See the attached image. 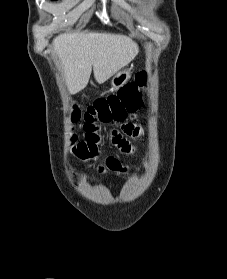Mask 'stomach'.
Returning <instances> with one entry per match:
<instances>
[{"mask_svg": "<svg viewBox=\"0 0 227 279\" xmlns=\"http://www.w3.org/2000/svg\"><path fill=\"white\" fill-rule=\"evenodd\" d=\"M131 77V69L125 68L118 71L111 79V89L117 90L122 87Z\"/></svg>", "mask_w": 227, "mask_h": 279, "instance_id": "1", "label": "stomach"}]
</instances>
